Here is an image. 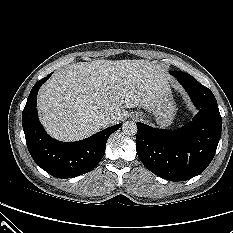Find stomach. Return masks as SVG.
I'll list each match as a JSON object with an SVG mask.
<instances>
[{"label": "stomach", "mask_w": 233, "mask_h": 233, "mask_svg": "<svg viewBox=\"0 0 233 233\" xmlns=\"http://www.w3.org/2000/svg\"><path fill=\"white\" fill-rule=\"evenodd\" d=\"M150 111L159 126L167 127L172 123L176 107L170 88L161 94L158 101L150 108ZM137 114L138 113H136V115Z\"/></svg>", "instance_id": "0dacf381"}]
</instances>
